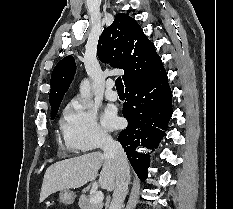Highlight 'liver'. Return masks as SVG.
<instances>
[{
  "label": "liver",
  "mask_w": 233,
  "mask_h": 209,
  "mask_svg": "<svg viewBox=\"0 0 233 209\" xmlns=\"http://www.w3.org/2000/svg\"><path fill=\"white\" fill-rule=\"evenodd\" d=\"M101 167L98 183L102 189L113 191L117 181L115 162L101 152H91L49 166L44 174L39 201L43 202L57 191L76 189L94 181Z\"/></svg>",
  "instance_id": "6515ba94"
}]
</instances>
